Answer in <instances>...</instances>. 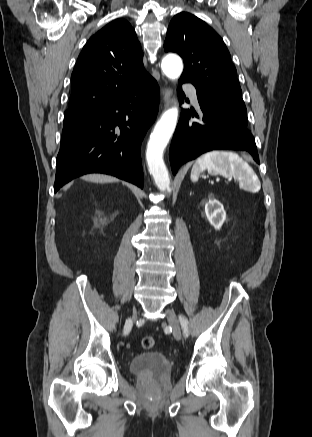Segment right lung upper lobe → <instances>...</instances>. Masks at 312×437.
<instances>
[{
	"label": "right lung upper lobe",
	"instance_id": "right-lung-upper-lobe-1",
	"mask_svg": "<svg viewBox=\"0 0 312 437\" xmlns=\"http://www.w3.org/2000/svg\"><path fill=\"white\" fill-rule=\"evenodd\" d=\"M135 30L116 19L93 35L73 69L66 112L93 111L121 96L148 73Z\"/></svg>",
	"mask_w": 312,
	"mask_h": 437
}]
</instances>
